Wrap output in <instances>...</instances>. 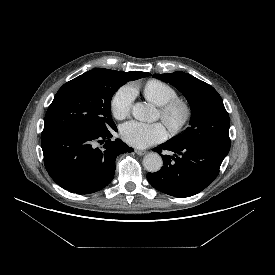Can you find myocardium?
<instances>
[{
  "label": "myocardium",
  "mask_w": 275,
  "mask_h": 275,
  "mask_svg": "<svg viewBox=\"0 0 275 275\" xmlns=\"http://www.w3.org/2000/svg\"><path fill=\"white\" fill-rule=\"evenodd\" d=\"M177 111L181 113V117L176 123H172L171 117ZM191 113L189 102L180 97H176L160 107V117L172 134H177L185 128L190 121Z\"/></svg>",
  "instance_id": "obj_1"
}]
</instances>
